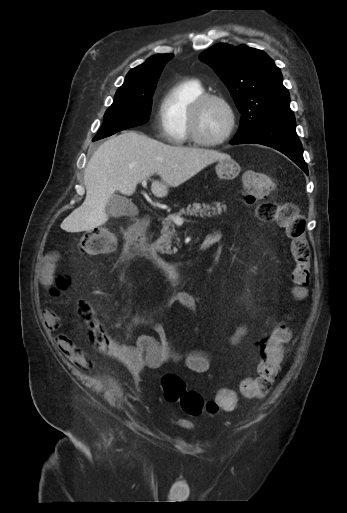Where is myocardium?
Instances as JSON below:
<instances>
[{"label": "myocardium", "mask_w": 347, "mask_h": 513, "mask_svg": "<svg viewBox=\"0 0 347 513\" xmlns=\"http://www.w3.org/2000/svg\"><path fill=\"white\" fill-rule=\"evenodd\" d=\"M210 101H216L222 104L229 115V124L223 136L215 140L203 138L199 133V120L202 108ZM237 124L236 111L231 102L224 96L215 93H204L197 97L191 104L188 111V135L191 142L205 147H216L222 145L233 135Z\"/></svg>", "instance_id": "myocardium-1"}]
</instances>
